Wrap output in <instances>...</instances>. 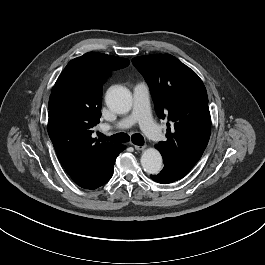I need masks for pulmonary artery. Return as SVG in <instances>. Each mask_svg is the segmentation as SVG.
<instances>
[{
	"label": "pulmonary artery",
	"mask_w": 265,
	"mask_h": 265,
	"mask_svg": "<svg viewBox=\"0 0 265 265\" xmlns=\"http://www.w3.org/2000/svg\"><path fill=\"white\" fill-rule=\"evenodd\" d=\"M135 123L152 139L162 138L161 129L154 123L150 115L149 89L145 83H138L133 88V108L129 115L118 120L113 125L103 124L102 130L116 129L124 130Z\"/></svg>",
	"instance_id": "1"
}]
</instances>
